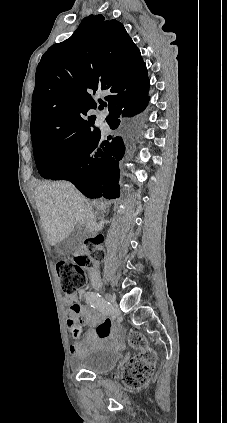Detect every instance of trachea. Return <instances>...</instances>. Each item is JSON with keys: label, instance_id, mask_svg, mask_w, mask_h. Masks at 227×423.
Wrapping results in <instances>:
<instances>
[{"label": "trachea", "instance_id": "trachea-1", "mask_svg": "<svg viewBox=\"0 0 227 423\" xmlns=\"http://www.w3.org/2000/svg\"><path fill=\"white\" fill-rule=\"evenodd\" d=\"M101 105H102V106H104V105H105V103H104V102H101Z\"/></svg>", "mask_w": 227, "mask_h": 423}]
</instances>
